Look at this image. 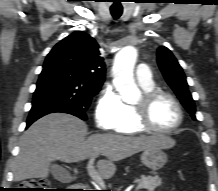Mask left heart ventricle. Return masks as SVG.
I'll list each match as a JSON object with an SVG mask.
<instances>
[{"label": "left heart ventricle", "instance_id": "1", "mask_svg": "<svg viewBox=\"0 0 218 191\" xmlns=\"http://www.w3.org/2000/svg\"><path fill=\"white\" fill-rule=\"evenodd\" d=\"M150 116L154 126L160 129L171 128L178 122V111L175 105L165 97L155 100L151 107Z\"/></svg>", "mask_w": 218, "mask_h": 191}]
</instances>
